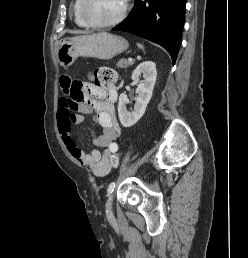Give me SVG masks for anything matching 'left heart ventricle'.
Instances as JSON below:
<instances>
[{"label": "left heart ventricle", "instance_id": "1", "mask_svg": "<svg viewBox=\"0 0 248 258\" xmlns=\"http://www.w3.org/2000/svg\"><path fill=\"white\" fill-rule=\"evenodd\" d=\"M123 0H85L84 10L93 22H106L121 11Z\"/></svg>", "mask_w": 248, "mask_h": 258}]
</instances>
